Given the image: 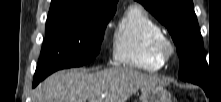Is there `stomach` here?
Wrapping results in <instances>:
<instances>
[{"label":"stomach","instance_id":"stomach-1","mask_svg":"<svg viewBox=\"0 0 221 102\" xmlns=\"http://www.w3.org/2000/svg\"><path fill=\"white\" fill-rule=\"evenodd\" d=\"M140 102H171V94L161 84L146 86L142 89Z\"/></svg>","mask_w":221,"mask_h":102}]
</instances>
